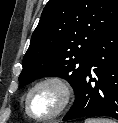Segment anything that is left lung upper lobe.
I'll use <instances>...</instances> for the list:
<instances>
[{
    "label": "left lung upper lobe",
    "instance_id": "left-lung-upper-lobe-1",
    "mask_svg": "<svg viewBox=\"0 0 118 123\" xmlns=\"http://www.w3.org/2000/svg\"><path fill=\"white\" fill-rule=\"evenodd\" d=\"M117 19L118 0H49L23 58L20 85L58 76L76 94L94 45Z\"/></svg>",
    "mask_w": 118,
    "mask_h": 123
}]
</instances>
